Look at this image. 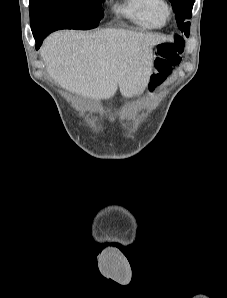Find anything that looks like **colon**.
Listing matches in <instances>:
<instances>
[{
    "mask_svg": "<svg viewBox=\"0 0 227 298\" xmlns=\"http://www.w3.org/2000/svg\"><path fill=\"white\" fill-rule=\"evenodd\" d=\"M184 42L180 36L171 41L161 42L154 50V67L156 74L151 78V89L162 84L171 72V69L181 62Z\"/></svg>",
    "mask_w": 227,
    "mask_h": 298,
    "instance_id": "5ec220e1",
    "label": "colon"
}]
</instances>
